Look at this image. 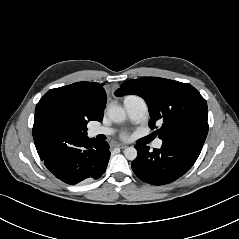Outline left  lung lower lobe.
<instances>
[{
  "label": "left lung lower lobe",
  "instance_id": "obj_1",
  "mask_svg": "<svg viewBox=\"0 0 239 239\" xmlns=\"http://www.w3.org/2000/svg\"><path fill=\"white\" fill-rule=\"evenodd\" d=\"M137 158L132 169L142 181L152 185L168 184L184 175L195 163L200 152L174 142L163 141L160 149L149 151L145 145H135Z\"/></svg>",
  "mask_w": 239,
  "mask_h": 239
}]
</instances>
